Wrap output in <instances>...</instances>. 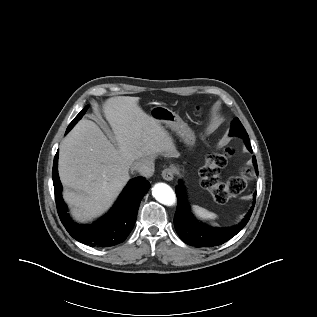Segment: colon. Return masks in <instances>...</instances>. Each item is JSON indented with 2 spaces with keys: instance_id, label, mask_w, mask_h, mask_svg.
Listing matches in <instances>:
<instances>
[{
  "instance_id": "colon-1",
  "label": "colon",
  "mask_w": 317,
  "mask_h": 317,
  "mask_svg": "<svg viewBox=\"0 0 317 317\" xmlns=\"http://www.w3.org/2000/svg\"><path fill=\"white\" fill-rule=\"evenodd\" d=\"M232 154L233 150L231 148L210 154L200 172L202 186L219 202H225L230 197L240 195L247 187L250 179V171L243 169L238 176L229 179L227 182L221 181L220 170L226 165Z\"/></svg>"
}]
</instances>
